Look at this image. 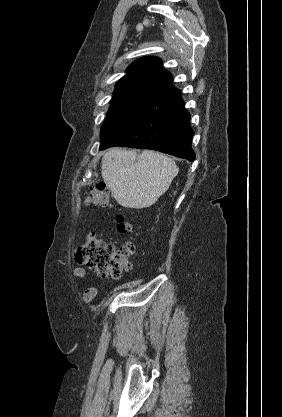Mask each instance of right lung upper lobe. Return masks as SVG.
<instances>
[{"label": "right lung upper lobe", "mask_w": 282, "mask_h": 417, "mask_svg": "<svg viewBox=\"0 0 282 417\" xmlns=\"http://www.w3.org/2000/svg\"><path fill=\"white\" fill-rule=\"evenodd\" d=\"M172 86V75L162 68V61L157 57H143L128 67L127 74L118 81L114 93L162 94Z\"/></svg>", "instance_id": "cb5924a9"}]
</instances>
